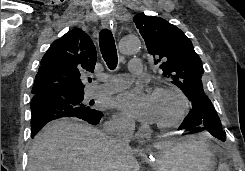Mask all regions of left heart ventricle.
<instances>
[{
	"label": "left heart ventricle",
	"instance_id": "b2bd125f",
	"mask_svg": "<svg viewBox=\"0 0 245 171\" xmlns=\"http://www.w3.org/2000/svg\"><path fill=\"white\" fill-rule=\"evenodd\" d=\"M156 121L166 122L170 120L178 111L179 103L175 96L171 94L153 95Z\"/></svg>",
	"mask_w": 245,
	"mask_h": 171
}]
</instances>
